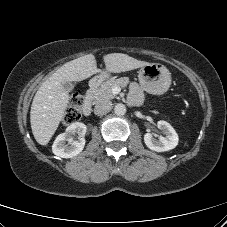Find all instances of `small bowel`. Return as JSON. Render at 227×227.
Instances as JSON below:
<instances>
[{"label":"small bowel","mask_w":227,"mask_h":227,"mask_svg":"<svg viewBox=\"0 0 227 227\" xmlns=\"http://www.w3.org/2000/svg\"><path fill=\"white\" fill-rule=\"evenodd\" d=\"M130 101L134 104H138L142 101V92L136 84L131 86Z\"/></svg>","instance_id":"small-bowel-1"}]
</instances>
